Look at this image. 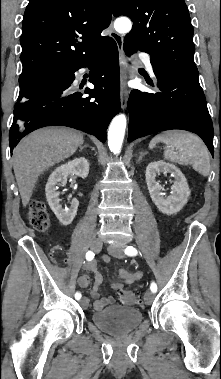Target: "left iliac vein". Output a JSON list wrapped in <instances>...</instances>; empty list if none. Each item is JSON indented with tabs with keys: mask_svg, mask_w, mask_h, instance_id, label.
Listing matches in <instances>:
<instances>
[{
	"mask_svg": "<svg viewBox=\"0 0 221 379\" xmlns=\"http://www.w3.org/2000/svg\"><path fill=\"white\" fill-rule=\"evenodd\" d=\"M125 244L124 243H115L111 244L108 247V252L110 255L117 257V258H123L124 257V250ZM145 304L150 305L154 300V294L153 292H146L144 295Z\"/></svg>",
	"mask_w": 221,
	"mask_h": 379,
	"instance_id": "4c4485c4",
	"label": "left iliac vein"
}]
</instances>
